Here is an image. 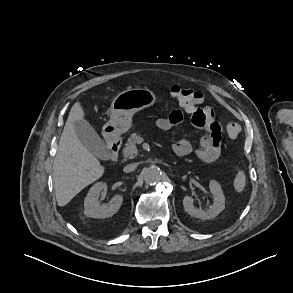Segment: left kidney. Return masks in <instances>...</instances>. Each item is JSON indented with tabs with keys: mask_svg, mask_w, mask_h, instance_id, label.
<instances>
[{
	"mask_svg": "<svg viewBox=\"0 0 293 293\" xmlns=\"http://www.w3.org/2000/svg\"><path fill=\"white\" fill-rule=\"evenodd\" d=\"M209 189L214 196L213 205L208 210H202L193 205L194 199L191 196H185L183 199V206L185 211L192 217L202 220L213 219L219 215L225 208V196L221 189V185L211 180L209 183Z\"/></svg>",
	"mask_w": 293,
	"mask_h": 293,
	"instance_id": "left-kidney-1",
	"label": "left kidney"
}]
</instances>
